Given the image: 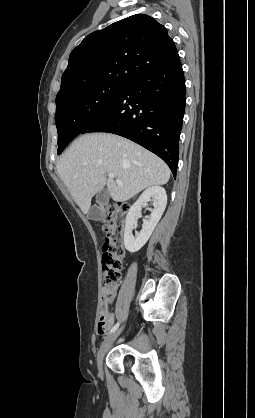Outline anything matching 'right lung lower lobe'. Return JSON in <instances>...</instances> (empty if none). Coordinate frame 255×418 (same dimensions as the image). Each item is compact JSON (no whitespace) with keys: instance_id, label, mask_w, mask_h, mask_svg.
Returning a JSON list of instances; mask_svg holds the SVG:
<instances>
[{"instance_id":"1","label":"right lung lower lobe","mask_w":255,"mask_h":418,"mask_svg":"<svg viewBox=\"0 0 255 418\" xmlns=\"http://www.w3.org/2000/svg\"><path fill=\"white\" fill-rule=\"evenodd\" d=\"M185 101L179 59L131 81L80 134L108 132L128 138L162 158L176 177Z\"/></svg>"}]
</instances>
